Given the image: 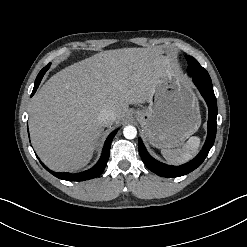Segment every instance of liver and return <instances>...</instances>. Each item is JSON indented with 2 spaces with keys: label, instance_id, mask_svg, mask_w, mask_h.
<instances>
[{
  "label": "liver",
  "instance_id": "1",
  "mask_svg": "<svg viewBox=\"0 0 247 247\" xmlns=\"http://www.w3.org/2000/svg\"><path fill=\"white\" fill-rule=\"evenodd\" d=\"M152 48L97 53L53 75L32 98L29 129L33 147L54 171H73L90 160L103 131L104 109L125 117L130 104L145 103L170 67Z\"/></svg>",
  "mask_w": 247,
  "mask_h": 247
}]
</instances>
